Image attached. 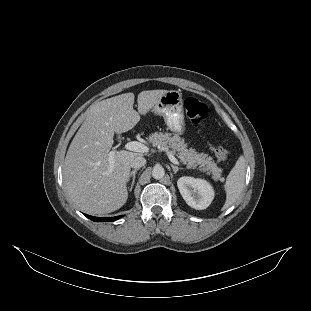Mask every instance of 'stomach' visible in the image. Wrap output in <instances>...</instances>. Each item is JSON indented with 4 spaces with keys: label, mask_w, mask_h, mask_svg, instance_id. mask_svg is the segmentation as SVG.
<instances>
[{
    "label": "stomach",
    "mask_w": 311,
    "mask_h": 311,
    "mask_svg": "<svg viewBox=\"0 0 311 311\" xmlns=\"http://www.w3.org/2000/svg\"><path fill=\"white\" fill-rule=\"evenodd\" d=\"M154 112L161 115L168 131L176 136L187 133L182 93L169 91L154 107Z\"/></svg>",
    "instance_id": "obj_1"
}]
</instances>
